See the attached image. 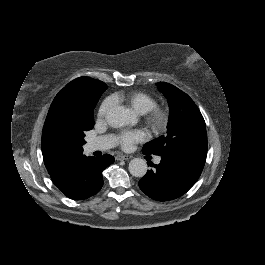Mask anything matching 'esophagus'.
I'll use <instances>...</instances> for the list:
<instances>
[{
  "label": "esophagus",
  "instance_id": "esophagus-1",
  "mask_svg": "<svg viewBox=\"0 0 265 265\" xmlns=\"http://www.w3.org/2000/svg\"><path fill=\"white\" fill-rule=\"evenodd\" d=\"M131 158H132L131 155H117V156H115L116 160H128V159H131Z\"/></svg>",
  "mask_w": 265,
  "mask_h": 265
}]
</instances>
